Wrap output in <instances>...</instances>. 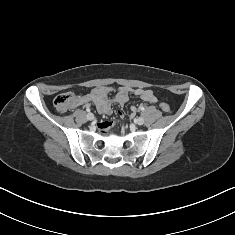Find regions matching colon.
Here are the masks:
<instances>
[{"label":"colon","mask_w":235,"mask_h":235,"mask_svg":"<svg viewBox=\"0 0 235 235\" xmlns=\"http://www.w3.org/2000/svg\"><path fill=\"white\" fill-rule=\"evenodd\" d=\"M78 100L76 96L71 92L61 93L57 95L54 99V106L57 109V111L61 113H65L70 111L72 108H74L77 104ZM160 108L164 112H169L170 107L167 103L161 102Z\"/></svg>","instance_id":"colon-1"}]
</instances>
